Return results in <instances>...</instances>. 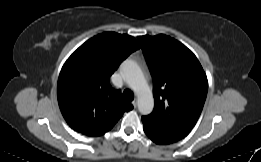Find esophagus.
<instances>
[{
  "mask_svg": "<svg viewBox=\"0 0 261 162\" xmlns=\"http://www.w3.org/2000/svg\"><path fill=\"white\" fill-rule=\"evenodd\" d=\"M132 105H133L134 108H136V107H137V100H134V101L132 102Z\"/></svg>",
  "mask_w": 261,
  "mask_h": 162,
  "instance_id": "obj_1",
  "label": "esophagus"
}]
</instances>
